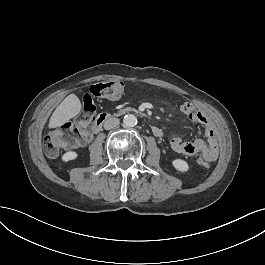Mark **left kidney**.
<instances>
[{
  "label": "left kidney",
  "mask_w": 265,
  "mask_h": 265,
  "mask_svg": "<svg viewBox=\"0 0 265 265\" xmlns=\"http://www.w3.org/2000/svg\"><path fill=\"white\" fill-rule=\"evenodd\" d=\"M172 164L178 171L181 172H186L189 169L187 162L182 159H176L172 162Z\"/></svg>",
  "instance_id": "left-kidney-1"
}]
</instances>
